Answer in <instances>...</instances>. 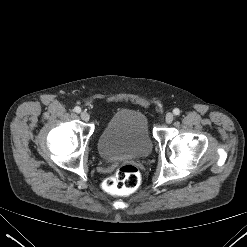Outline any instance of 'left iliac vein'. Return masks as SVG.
<instances>
[{
  "label": "left iliac vein",
  "mask_w": 247,
  "mask_h": 247,
  "mask_svg": "<svg viewBox=\"0 0 247 247\" xmlns=\"http://www.w3.org/2000/svg\"><path fill=\"white\" fill-rule=\"evenodd\" d=\"M173 119H174V115L172 113L169 112L166 114L165 121L167 124L172 123Z\"/></svg>",
  "instance_id": "4c4485c4"
}]
</instances>
